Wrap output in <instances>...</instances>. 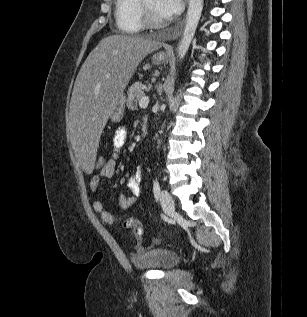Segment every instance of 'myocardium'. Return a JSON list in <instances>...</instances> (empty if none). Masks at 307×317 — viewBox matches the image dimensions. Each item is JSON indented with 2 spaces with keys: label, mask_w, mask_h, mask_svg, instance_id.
<instances>
[{
  "label": "myocardium",
  "mask_w": 307,
  "mask_h": 317,
  "mask_svg": "<svg viewBox=\"0 0 307 317\" xmlns=\"http://www.w3.org/2000/svg\"><path fill=\"white\" fill-rule=\"evenodd\" d=\"M139 6L143 22L146 26L156 29L161 28L166 24L164 20H160L153 15L150 8L146 4V0H139Z\"/></svg>",
  "instance_id": "f54148a6"
}]
</instances>
